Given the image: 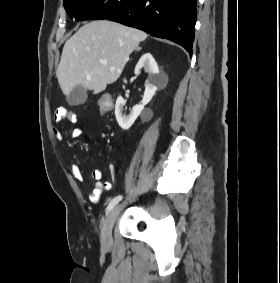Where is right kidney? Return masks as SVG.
Here are the masks:
<instances>
[{
	"mask_svg": "<svg viewBox=\"0 0 280 283\" xmlns=\"http://www.w3.org/2000/svg\"><path fill=\"white\" fill-rule=\"evenodd\" d=\"M141 68H144V71L149 74V83L145 87L141 104L134 106L131 113L126 115L124 114V99L119 96L116 100L115 116L119 126L123 130H128L133 125L141 111L144 109V106L148 104L155 95L158 86L167 81V77L160 74L158 65L150 53L142 55L135 67V74L139 75ZM124 82H126V80H124Z\"/></svg>",
	"mask_w": 280,
	"mask_h": 283,
	"instance_id": "ca27d5eb",
	"label": "right kidney"
}]
</instances>
